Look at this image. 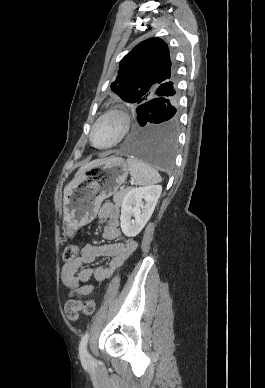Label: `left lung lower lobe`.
I'll return each mask as SVG.
<instances>
[{"label": "left lung lower lobe", "mask_w": 265, "mask_h": 388, "mask_svg": "<svg viewBox=\"0 0 265 388\" xmlns=\"http://www.w3.org/2000/svg\"><path fill=\"white\" fill-rule=\"evenodd\" d=\"M163 93L136 108L133 130L123 151L157 169L169 170L177 143L178 92L176 87L168 86Z\"/></svg>", "instance_id": "0a47b994"}]
</instances>
